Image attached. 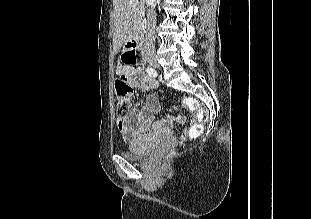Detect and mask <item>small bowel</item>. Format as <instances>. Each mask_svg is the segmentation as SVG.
I'll list each match as a JSON object with an SVG mask.
<instances>
[{"instance_id":"obj_1","label":"small bowel","mask_w":311,"mask_h":219,"mask_svg":"<svg viewBox=\"0 0 311 219\" xmlns=\"http://www.w3.org/2000/svg\"><path fill=\"white\" fill-rule=\"evenodd\" d=\"M118 75H125L133 88L146 90L155 89L157 81L152 76L144 73L141 66L127 67L118 65L116 67ZM160 109V103L156 96L148 95L145 105L140 108L130 110L126 117L117 119V127L121 132L125 142L133 143L152 138H172L173 118H160L154 120V114ZM178 123H184V117H177Z\"/></svg>"}]
</instances>
